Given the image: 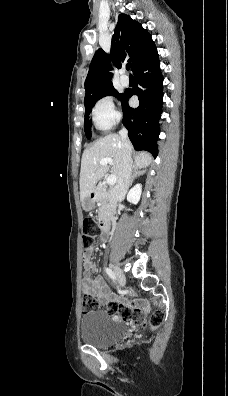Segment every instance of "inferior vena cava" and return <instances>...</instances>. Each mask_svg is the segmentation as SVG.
Returning a JSON list of instances; mask_svg holds the SVG:
<instances>
[{"label":"inferior vena cava","mask_w":228,"mask_h":396,"mask_svg":"<svg viewBox=\"0 0 228 396\" xmlns=\"http://www.w3.org/2000/svg\"><path fill=\"white\" fill-rule=\"evenodd\" d=\"M121 137L123 151H122V162L119 172L117 184L112 190V213L115 214L116 204L119 200L123 199L127 190L130 186L131 174H132V147L128 138V131L126 128H122L119 131Z\"/></svg>","instance_id":"1"}]
</instances>
